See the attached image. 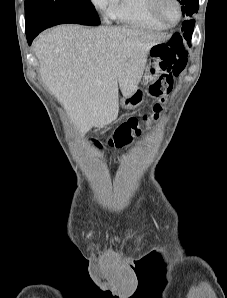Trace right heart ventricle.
I'll use <instances>...</instances> for the list:
<instances>
[{"label":"right heart ventricle","mask_w":227,"mask_h":298,"mask_svg":"<svg viewBox=\"0 0 227 298\" xmlns=\"http://www.w3.org/2000/svg\"><path fill=\"white\" fill-rule=\"evenodd\" d=\"M150 0H108L104 11L121 24L144 30L160 31L167 28L150 11Z\"/></svg>","instance_id":"1"}]
</instances>
